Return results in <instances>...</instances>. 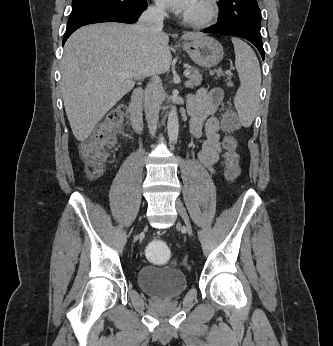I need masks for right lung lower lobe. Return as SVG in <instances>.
I'll list each match as a JSON object with an SVG mask.
<instances>
[{"instance_id":"1","label":"right lung lower lobe","mask_w":333,"mask_h":346,"mask_svg":"<svg viewBox=\"0 0 333 346\" xmlns=\"http://www.w3.org/2000/svg\"><path fill=\"white\" fill-rule=\"evenodd\" d=\"M146 7V0H138L133 7L127 10H118L114 8H95L81 11L69 17L67 28L63 37V44L75 30L84 25L101 22L134 23L137 21Z\"/></svg>"}]
</instances>
